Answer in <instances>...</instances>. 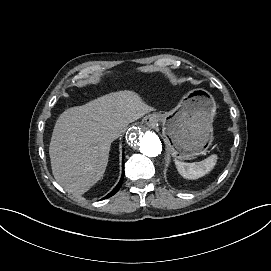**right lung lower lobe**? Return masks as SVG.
<instances>
[{"label":"right lung lower lobe","mask_w":271,"mask_h":271,"mask_svg":"<svg viewBox=\"0 0 271 271\" xmlns=\"http://www.w3.org/2000/svg\"><path fill=\"white\" fill-rule=\"evenodd\" d=\"M123 158H124V154H123ZM123 178H124V170H123V174H122V177H121L118 185L105 198H109V197L113 196L115 193H117V191L120 189V187L122 185Z\"/></svg>","instance_id":"right-lung-lower-lobe-1"}]
</instances>
